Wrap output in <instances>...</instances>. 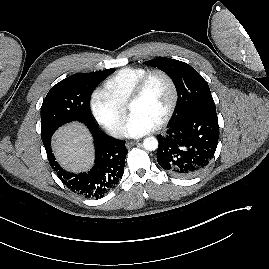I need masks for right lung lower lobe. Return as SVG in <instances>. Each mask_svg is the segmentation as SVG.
<instances>
[{"instance_id":"right-lung-lower-lobe-1","label":"right lung lower lobe","mask_w":269,"mask_h":269,"mask_svg":"<svg viewBox=\"0 0 269 269\" xmlns=\"http://www.w3.org/2000/svg\"><path fill=\"white\" fill-rule=\"evenodd\" d=\"M88 128L94 138L96 150L95 165L88 172L74 174L63 170L52 153L50 139L43 144L52 169L68 188L86 198H101L123 176L128 151L124 141L104 134L98 126Z\"/></svg>"}]
</instances>
